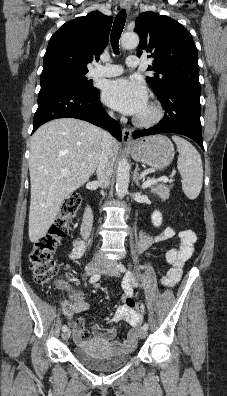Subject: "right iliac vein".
Masks as SVG:
<instances>
[{
    "label": "right iliac vein",
    "instance_id": "63e3f726",
    "mask_svg": "<svg viewBox=\"0 0 227 396\" xmlns=\"http://www.w3.org/2000/svg\"><path fill=\"white\" fill-rule=\"evenodd\" d=\"M103 263L97 260H93L91 261L88 266L86 267V273L88 275H93L95 274L97 271H99L102 267H103ZM71 335V331L70 329H67L66 331L63 332L62 334V338L63 340H68L69 337Z\"/></svg>",
    "mask_w": 227,
    "mask_h": 396
}]
</instances>
